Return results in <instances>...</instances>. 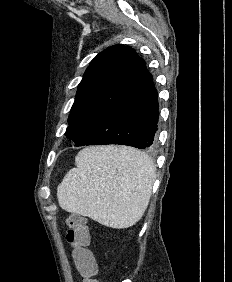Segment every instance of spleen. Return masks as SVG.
<instances>
[{"instance_id":"obj_1","label":"spleen","mask_w":232,"mask_h":282,"mask_svg":"<svg viewBox=\"0 0 232 282\" xmlns=\"http://www.w3.org/2000/svg\"><path fill=\"white\" fill-rule=\"evenodd\" d=\"M57 187L59 205L112 227L127 228L143 216L155 180L146 153L120 146L87 147Z\"/></svg>"}]
</instances>
